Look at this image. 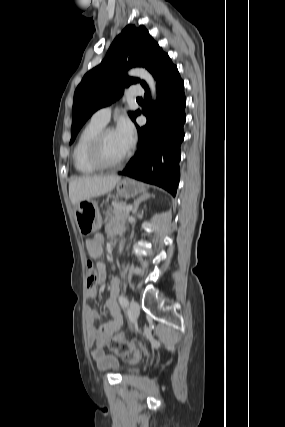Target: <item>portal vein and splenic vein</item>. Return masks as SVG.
Listing matches in <instances>:
<instances>
[{
  "mask_svg": "<svg viewBox=\"0 0 285 427\" xmlns=\"http://www.w3.org/2000/svg\"><path fill=\"white\" fill-rule=\"evenodd\" d=\"M126 209H127L128 211H130V210H132V206H131V205L126 206Z\"/></svg>",
  "mask_w": 285,
  "mask_h": 427,
  "instance_id": "1",
  "label": "portal vein and splenic vein"
}]
</instances>
